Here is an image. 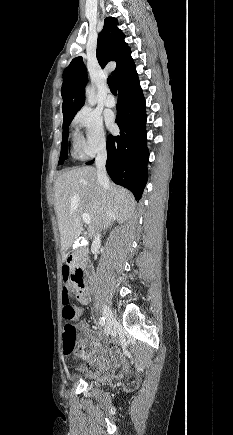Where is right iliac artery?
Instances as JSON below:
<instances>
[{
    "mask_svg": "<svg viewBox=\"0 0 233 435\" xmlns=\"http://www.w3.org/2000/svg\"><path fill=\"white\" fill-rule=\"evenodd\" d=\"M99 324H100L101 326H104V325H105V318H104V317H100V319H99Z\"/></svg>",
    "mask_w": 233,
    "mask_h": 435,
    "instance_id": "1",
    "label": "right iliac artery"
}]
</instances>
